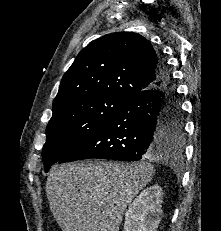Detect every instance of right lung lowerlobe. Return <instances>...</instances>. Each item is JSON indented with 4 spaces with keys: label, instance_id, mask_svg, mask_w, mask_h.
Instances as JSON below:
<instances>
[{
    "label": "right lung lower lobe",
    "instance_id": "obj_1",
    "mask_svg": "<svg viewBox=\"0 0 221 231\" xmlns=\"http://www.w3.org/2000/svg\"><path fill=\"white\" fill-rule=\"evenodd\" d=\"M158 75L154 86L128 98L95 133L58 162L89 158L137 161L172 149L174 145L163 135L169 120L167 109L180 105L162 57Z\"/></svg>",
    "mask_w": 221,
    "mask_h": 231
}]
</instances>
